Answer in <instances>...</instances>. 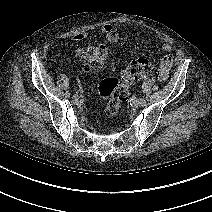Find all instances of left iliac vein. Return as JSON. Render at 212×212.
Instances as JSON below:
<instances>
[{
    "mask_svg": "<svg viewBox=\"0 0 212 212\" xmlns=\"http://www.w3.org/2000/svg\"><path fill=\"white\" fill-rule=\"evenodd\" d=\"M141 104H140V100L139 99H136V100H134L133 101V107L134 108H137V107H139Z\"/></svg>",
    "mask_w": 212,
    "mask_h": 212,
    "instance_id": "obj_1",
    "label": "left iliac vein"
}]
</instances>
